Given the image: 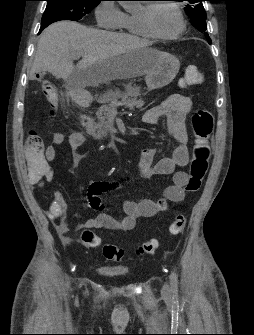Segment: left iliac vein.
Returning a JSON list of instances; mask_svg holds the SVG:
<instances>
[{
    "instance_id": "left-iliac-vein-1",
    "label": "left iliac vein",
    "mask_w": 254,
    "mask_h": 335,
    "mask_svg": "<svg viewBox=\"0 0 254 335\" xmlns=\"http://www.w3.org/2000/svg\"><path fill=\"white\" fill-rule=\"evenodd\" d=\"M169 292H170L169 285L168 284H164L163 287H162V294L165 295V296H167V295H169Z\"/></svg>"
}]
</instances>
